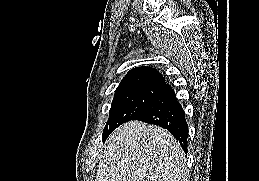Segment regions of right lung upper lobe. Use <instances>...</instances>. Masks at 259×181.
Listing matches in <instances>:
<instances>
[{
  "label": "right lung upper lobe",
  "instance_id": "1",
  "mask_svg": "<svg viewBox=\"0 0 259 181\" xmlns=\"http://www.w3.org/2000/svg\"><path fill=\"white\" fill-rule=\"evenodd\" d=\"M164 77L152 67L140 66L130 70L122 79L118 88L135 85H162Z\"/></svg>",
  "mask_w": 259,
  "mask_h": 181
}]
</instances>
